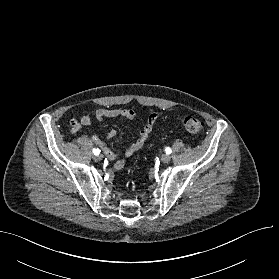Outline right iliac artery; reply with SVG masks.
I'll return each instance as SVG.
<instances>
[{"label": "right iliac artery", "instance_id": "right-iliac-artery-1", "mask_svg": "<svg viewBox=\"0 0 279 279\" xmlns=\"http://www.w3.org/2000/svg\"><path fill=\"white\" fill-rule=\"evenodd\" d=\"M94 155H99L100 150L98 148L93 149Z\"/></svg>", "mask_w": 279, "mask_h": 279}]
</instances>
